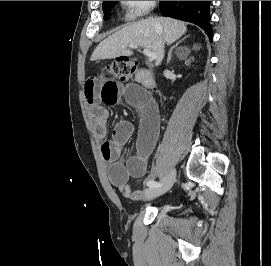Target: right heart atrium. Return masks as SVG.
<instances>
[{
  "mask_svg": "<svg viewBox=\"0 0 271 266\" xmlns=\"http://www.w3.org/2000/svg\"><path fill=\"white\" fill-rule=\"evenodd\" d=\"M125 11L126 16L135 20L143 17L147 14L155 5L156 1H121Z\"/></svg>",
  "mask_w": 271,
  "mask_h": 266,
  "instance_id": "obj_1",
  "label": "right heart atrium"
}]
</instances>
